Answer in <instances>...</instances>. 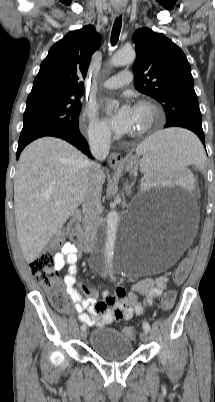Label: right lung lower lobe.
Here are the masks:
<instances>
[{"label":"right lung lower lobe","mask_w":215,"mask_h":402,"mask_svg":"<svg viewBox=\"0 0 215 402\" xmlns=\"http://www.w3.org/2000/svg\"><path fill=\"white\" fill-rule=\"evenodd\" d=\"M48 136H54L58 138H62L75 147H77L79 150H81L83 153L88 154V156L92 157L91 153L89 152V147L86 139L80 134L79 130L77 131H71V132H59L53 135H48ZM27 145V144H26ZM26 145H18V150H17V159L20 156L21 151Z\"/></svg>","instance_id":"1"}]
</instances>
